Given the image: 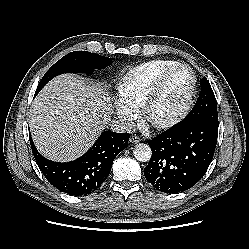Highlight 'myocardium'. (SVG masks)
I'll return each instance as SVG.
<instances>
[{
  "label": "myocardium",
  "instance_id": "obj_1",
  "mask_svg": "<svg viewBox=\"0 0 249 249\" xmlns=\"http://www.w3.org/2000/svg\"><path fill=\"white\" fill-rule=\"evenodd\" d=\"M179 69H187L191 75V83L181 107L175 114H173L171 117L165 120L162 121L151 120L150 118L151 109L160 98L163 89L170 76ZM196 85H197L196 74L194 70L187 64L179 63L164 71L161 74V76L158 78L155 85L153 86V88L148 93V95L146 96V98L144 99L143 103L140 106V116L142 122L156 130H165L177 125L188 114L192 106L196 91Z\"/></svg>",
  "mask_w": 249,
  "mask_h": 249
}]
</instances>
